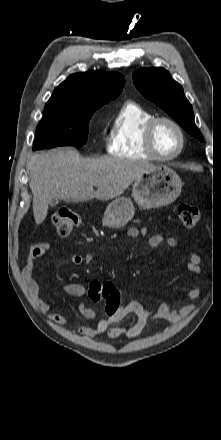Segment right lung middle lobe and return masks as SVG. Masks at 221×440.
<instances>
[{
	"mask_svg": "<svg viewBox=\"0 0 221 440\" xmlns=\"http://www.w3.org/2000/svg\"><path fill=\"white\" fill-rule=\"evenodd\" d=\"M99 107L47 103L37 126L33 150L82 146L88 138L89 120Z\"/></svg>",
	"mask_w": 221,
	"mask_h": 440,
	"instance_id": "dd1d6c3e",
	"label": "right lung middle lobe"
}]
</instances>
